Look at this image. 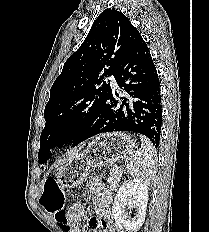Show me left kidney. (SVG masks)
<instances>
[{"label": "left kidney", "mask_w": 209, "mask_h": 232, "mask_svg": "<svg viewBox=\"0 0 209 232\" xmlns=\"http://www.w3.org/2000/svg\"><path fill=\"white\" fill-rule=\"evenodd\" d=\"M147 202L148 186L146 184L137 179L123 183L115 196L112 208L117 228L128 232L139 229L145 221ZM126 206L136 208L137 214L134 218L124 212Z\"/></svg>", "instance_id": "obj_1"}]
</instances>
